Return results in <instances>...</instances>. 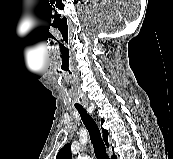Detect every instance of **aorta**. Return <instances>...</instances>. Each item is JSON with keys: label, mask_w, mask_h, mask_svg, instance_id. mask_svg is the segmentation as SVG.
Returning <instances> with one entry per match:
<instances>
[{"label": "aorta", "mask_w": 173, "mask_h": 159, "mask_svg": "<svg viewBox=\"0 0 173 159\" xmlns=\"http://www.w3.org/2000/svg\"><path fill=\"white\" fill-rule=\"evenodd\" d=\"M77 159H85V157L82 155H78Z\"/></svg>", "instance_id": "1"}]
</instances>
